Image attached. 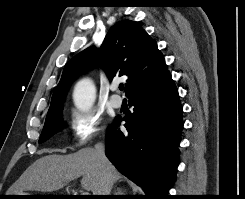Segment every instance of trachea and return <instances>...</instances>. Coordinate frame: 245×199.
<instances>
[{
	"label": "trachea",
	"mask_w": 245,
	"mask_h": 199,
	"mask_svg": "<svg viewBox=\"0 0 245 199\" xmlns=\"http://www.w3.org/2000/svg\"><path fill=\"white\" fill-rule=\"evenodd\" d=\"M119 89L122 91L124 89V85L120 84Z\"/></svg>",
	"instance_id": "trachea-1"
}]
</instances>
